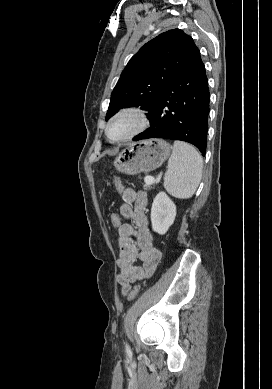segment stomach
I'll return each mask as SVG.
<instances>
[{
  "label": "stomach",
  "instance_id": "stomach-1",
  "mask_svg": "<svg viewBox=\"0 0 272 389\" xmlns=\"http://www.w3.org/2000/svg\"><path fill=\"white\" fill-rule=\"evenodd\" d=\"M171 146L163 139H147L133 143L114 160V167L121 173L135 175L160 167L170 156Z\"/></svg>",
  "mask_w": 272,
  "mask_h": 389
}]
</instances>
